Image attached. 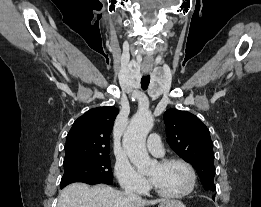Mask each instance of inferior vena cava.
Masks as SVG:
<instances>
[{"label": "inferior vena cava", "mask_w": 261, "mask_h": 207, "mask_svg": "<svg viewBox=\"0 0 261 207\" xmlns=\"http://www.w3.org/2000/svg\"><path fill=\"white\" fill-rule=\"evenodd\" d=\"M125 195L129 198V199H137V195L133 192V190L131 189H126L125 190Z\"/></svg>", "instance_id": "inferior-vena-cava-1"}]
</instances>
